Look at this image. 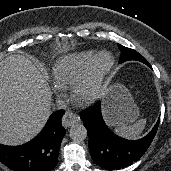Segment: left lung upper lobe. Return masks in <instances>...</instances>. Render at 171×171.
Masks as SVG:
<instances>
[{
    "label": "left lung upper lobe",
    "mask_w": 171,
    "mask_h": 171,
    "mask_svg": "<svg viewBox=\"0 0 171 171\" xmlns=\"http://www.w3.org/2000/svg\"><path fill=\"white\" fill-rule=\"evenodd\" d=\"M118 47L121 50V56H120V60H119L120 63H123L128 60H137V61L143 62L149 66V63L146 61V59L141 54H139L137 51L127 48V47H124L120 44H118Z\"/></svg>",
    "instance_id": "obj_1"
}]
</instances>
